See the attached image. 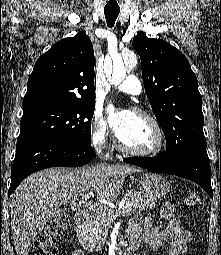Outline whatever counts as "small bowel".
Returning a JSON list of instances; mask_svg holds the SVG:
<instances>
[{"mask_svg":"<svg viewBox=\"0 0 221 255\" xmlns=\"http://www.w3.org/2000/svg\"><path fill=\"white\" fill-rule=\"evenodd\" d=\"M175 209L171 203H165L161 210V216L168 220L163 226H154L153 219L141 216L134 217L128 227L129 238L137 237L151 248L157 249L165 244L171 245L169 255H185L190 240L189 233L182 228L180 221L174 218ZM72 255H85L76 250Z\"/></svg>","mask_w":221,"mask_h":255,"instance_id":"obj_1","label":"small bowel"}]
</instances>
